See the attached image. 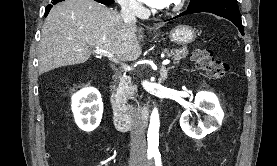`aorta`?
Listing matches in <instances>:
<instances>
[{"mask_svg":"<svg viewBox=\"0 0 277 166\" xmlns=\"http://www.w3.org/2000/svg\"><path fill=\"white\" fill-rule=\"evenodd\" d=\"M159 114L157 109H154L150 117V125L148 129V149L154 151L158 149L159 145Z\"/></svg>","mask_w":277,"mask_h":166,"instance_id":"1","label":"aorta"}]
</instances>
